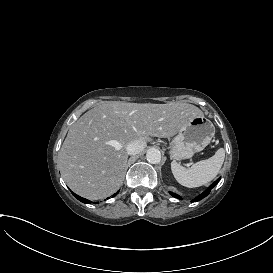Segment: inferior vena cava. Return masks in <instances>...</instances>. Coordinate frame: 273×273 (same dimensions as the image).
I'll list each match as a JSON object with an SVG mask.
<instances>
[{"instance_id": "inferior-vena-cava-1", "label": "inferior vena cava", "mask_w": 273, "mask_h": 273, "mask_svg": "<svg viewBox=\"0 0 273 273\" xmlns=\"http://www.w3.org/2000/svg\"><path fill=\"white\" fill-rule=\"evenodd\" d=\"M145 146H146L145 142L141 140H132L127 145V154L128 155L138 154L145 148Z\"/></svg>"}]
</instances>
